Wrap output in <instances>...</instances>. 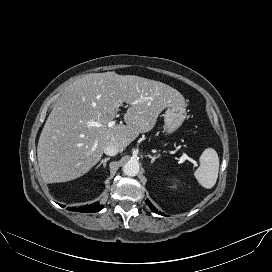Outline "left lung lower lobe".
Masks as SVG:
<instances>
[{"label": "left lung lower lobe", "instance_id": "left-lung-lower-lobe-1", "mask_svg": "<svg viewBox=\"0 0 272 272\" xmlns=\"http://www.w3.org/2000/svg\"><path fill=\"white\" fill-rule=\"evenodd\" d=\"M146 203H147V205L151 208V210H152L153 212H155V213H157V214H160V215H163L162 213L157 212V211L155 210V207L150 203L149 200H146Z\"/></svg>", "mask_w": 272, "mask_h": 272}]
</instances>
